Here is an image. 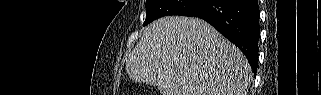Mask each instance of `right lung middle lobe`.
<instances>
[{
  "label": "right lung middle lobe",
  "instance_id": "right-lung-middle-lobe-1",
  "mask_svg": "<svg viewBox=\"0 0 321 95\" xmlns=\"http://www.w3.org/2000/svg\"><path fill=\"white\" fill-rule=\"evenodd\" d=\"M205 2L207 0H146V19L143 26L163 16H189Z\"/></svg>",
  "mask_w": 321,
  "mask_h": 95
}]
</instances>
